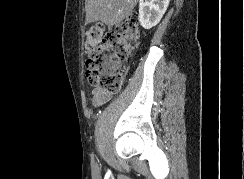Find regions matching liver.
I'll use <instances>...</instances> for the list:
<instances>
[{
	"mask_svg": "<svg viewBox=\"0 0 244 179\" xmlns=\"http://www.w3.org/2000/svg\"><path fill=\"white\" fill-rule=\"evenodd\" d=\"M138 0H86V20H101L107 26L120 24L131 14Z\"/></svg>",
	"mask_w": 244,
	"mask_h": 179,
	"instance_id": "obj_1",
	"label": "liver"
}]
</instances>
